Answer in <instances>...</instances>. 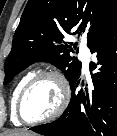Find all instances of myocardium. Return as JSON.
<instances>
[{
    "instance_id": "myocardium-1",
    "label": "myocardium",
    "mask_w": 117,
    "mask_h": 136,
    "mask_svg": "<svg viewBox=\"0 0 117 136\" xmlns=\"http://www.w3.org/2000/svg\"><path fill=\"white\" fill-rule=\"evenodd\" d=\"M45 78H52L57 82V84L59 86V90H60L59 104H58L57 108L55 109V111L52 114H50L49 116L41 118V119H37V120H27L23 117L22 111H21L24 97L37 82H39L40 80L45 79ZM69 99H70V86H69L66 76L61 71H59L57 69L44 70V71H41V72L35 74L24 85V87L20 91L18 99H17V103H16L15 114H16V117L22 123H25L28 125L48 123V122H51V121L57 119L64 112V110L66 109V107L69 103Z\"/></svg>"
}]
</instances>
